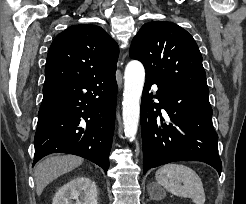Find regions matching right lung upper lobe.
<instances>
[{
    "instance_id": "1",
    "label": "right lung upper lobe",
    "mask_w": 246,
    "mask_h": 204,
    "mask_svg": "<svg viewBox=\"0 0 246 204\" xmlns=\"http://www.w3.org/2000/svg\"><path fill=\"white\" fill-rule=\"evenodd\" d=\"M119 48L101 27L73 25L51 44L44 85L76 78L115 74Z\"/></svg>"
}]
</instances>
